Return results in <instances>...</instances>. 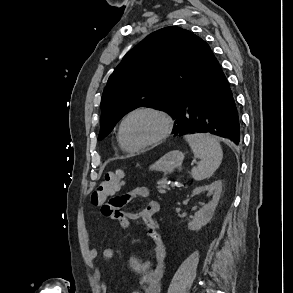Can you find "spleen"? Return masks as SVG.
<instances>
[{
    "instance_id": "spleen-1",
    "label": "spleen",
    "mask_w": 293,
    "mask_h": 293,
    "mask_svg": "<svg viewBox=\"0 0 293 293\" xmlns=\"http://www.w3.org/2000/svg\"><path fill=\"white\" fill-rule=\"evenodd\" d=\"M185 140L191 147L194 156L200 159L196 167L192 168V177L203 180L210 177L220 166L223 152L217 139L209 134H187Z\"/></svg>"
}]
</instances>
